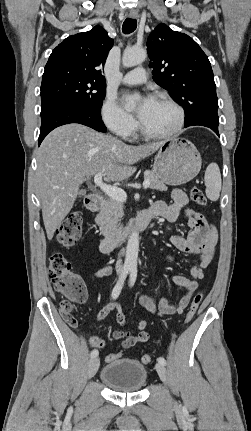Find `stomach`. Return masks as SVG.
Instances as JSON below:
<instances>
[{
	"label": "stomach",
	"mask_w": 251,
	"mask_h": 431,
	"mask_svg": "<svg viewBox=\"0 0 251 431\" xmlns=\"http://www.w3.org/2000/svg\"><path fill=\"white\" fill-rule=\"evenodd\" d=\"M201 164L199 152L188 140L173 138L162 142L153 169L165 184L179 186L195 178Z\"/></svg>",
	"instance_id": "stomach-1"
}]
</instances>
